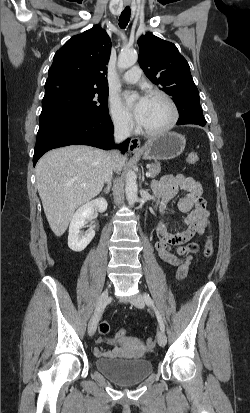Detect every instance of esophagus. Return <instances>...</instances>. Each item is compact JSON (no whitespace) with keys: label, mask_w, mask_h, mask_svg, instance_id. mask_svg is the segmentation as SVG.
Instances as JSON below:
<instances>
[{"label":"esophagus","mask_w":250,"mask_h":413,"mask_svg":"<svg viewBox=\"0 0 250 413\" xmlns=\"http://www.w3.org/2000/svg\"><path fill=\"white\" fill-rule=\"evenodd\" d=\"M142 150L141 142L138 138H132L129 144V151L132 153H138Z\"/></svg>","instance_id":"1"}]
</instances>
